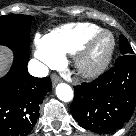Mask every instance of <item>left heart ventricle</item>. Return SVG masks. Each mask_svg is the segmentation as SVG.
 Segmentation results:
<instances>
[{
    "instance_id": "left-heart-ventricle-1",
    "label": "left heart ventricle",
    "mask_w": 136,
    "mask_h": 136,
    "mask_svg": "<svg viewBox=\"0 0 136 136\" xmlns=\"http://www.w3.org/2000/svg\"><path fill=\"white\" fill-rule=\"evenodd\" d=\"M109 46H110V38L108 36L101 38L94 46L92 52L90 53L87 63L93 64L98 60H100L107 52Z\"/></svg>"
}]
</instances>
